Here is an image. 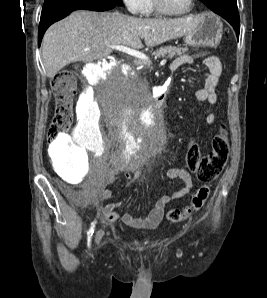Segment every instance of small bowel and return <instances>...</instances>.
<instances>
[{"label": "small bowel", "mask_w": 267, "mask_h": 298, "mask_svg": "<svg viewBox=\"0 0 267 298\" xmlns=\"http://www.w3.org/2000/svg\"><path fill=\"white\" fill-rule=\"evenodd\" d=\"M204 64L207 67L209 74L205 77L203 85L200 89L196 90L195 98L198 101L206 102L210 105H215L219 101L217 94V86L220 75L222 73V65L218 57L207 56L204 58ZM193 63V58L188 55H182L177 57L171 63V70L175 71L184 65ZM207 122L211 125L215 124L216 116L209 114L207 116ZM71 144L75 147H79V142L72 140ZM166 176L169 179H179L183 182V186L172 194H165L153 201V207L146 217L137 218L126 212L121 216L122 223L131 229L138 230H151L156 228L162 221L165 206L181 197L190 193L193 182L192 177L188 171L181 167H170L166 171ZM138 176L134 177V180ZM112 198V192L109 189H103L99 193H88L84 199L86 202L97 206L102 218L109 224L115 223L119 219V214L116 212V208L121 205V202H111L104 204L103 201Z\"/></svg>", "instance_id": "1"}]
</instances>
